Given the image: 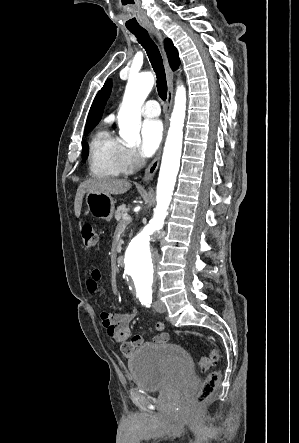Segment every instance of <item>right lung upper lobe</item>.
<instances>
[{
	"instance_id": "right-lung-upper-lobe-1",
	"label": "right lung upper lobe",
	"mask_w": 299,
	"mask_h": 443,
	"mask_svg": "<svg viewBox=\"0 0 299 443\" xmlns=\"http://www.w3.org/2000/svg\"><path fill=\"white\" fill-rule=\"evenodd\" d=\"M164 44L169 64L173 70H176L180 65L177 49L174 47L170 39H165ZM111 88L112 82L111 80H108L105 82L103 88L97 93L90 108L86 126L98 124V122L100 121L103 114L104 106L110 96Z\"/></svg>"
}]
</instances>
